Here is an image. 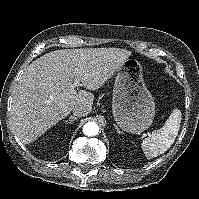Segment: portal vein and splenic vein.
<instances>
[{
  "label": "portal vein and splenic vein",
  "instance_id": "18ae733b",
  "mask_svg": "<svg viewBox=\"0 0 199 199\" xmlns=\"http://www.w3.org/2000/svg\"><path fill=\"white\" fill-rule=\"evenodd\" d=\"M80 85V81L78 79L74 80V83L72 84V89L74 90L76 87Z\"/></svg>",
  "mask_w": 199,
  "mask_h": 199
}]
</instances>
